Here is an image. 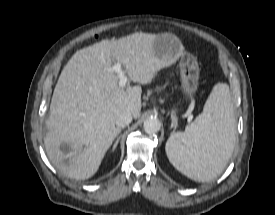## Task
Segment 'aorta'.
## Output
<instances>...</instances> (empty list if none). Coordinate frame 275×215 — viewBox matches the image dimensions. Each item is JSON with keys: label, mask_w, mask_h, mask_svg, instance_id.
Wrapping results in <instances>:
<instances>
[{"label": "aorta", "mask_w": 275, "mask_h": 215, "mask_svg": "<svg viewBox=\"0 0 275 215\" xmlns=\"http://www.w3.org/2000/svg\"><path fill=\"white\" fill-rule=\"evenodd\" d=\"M143 127L147 133H157L160 130L161 123L156 117H149L144 121Z\"/></svg>", "instance_id": "1"}]
</instances>
